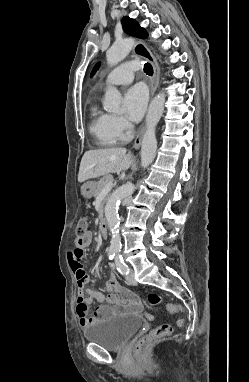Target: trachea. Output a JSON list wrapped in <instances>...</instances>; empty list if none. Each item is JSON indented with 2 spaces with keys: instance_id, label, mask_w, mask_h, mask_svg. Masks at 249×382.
Returning <instances> with one entry per match:
<instances>
[{
  "instance_id": "3493384b",
  "label": "trachea",
  "mask_w": 249,
  "mask_h": 382,
  "mask_svg": "<svg viewBox=\"0 0 249 382\" xmlns=\"http://www.w3.org/2000/svg\"><path fill=\"white\" fill-rule=\"evenodd\" d=\"M144 72L147 74V75H152L153 74V67L151 64L149 63H146L144 64Z\"/></svg>"
}]
</instances>
